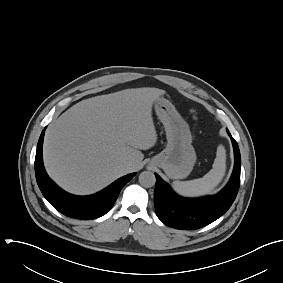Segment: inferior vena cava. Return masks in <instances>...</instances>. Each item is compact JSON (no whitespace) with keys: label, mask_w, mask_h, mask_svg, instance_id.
Wrapping results in <instances>:
<instances>
[{"label":"inferior vena cava","mask_w":283,"mask_h":283,"mask_svg":"<svg viewBox=\"0 0 283 283\" xmlns=\"http://www.w3.org/2000/svg\"><path fill=\"white\" fill-rule=\"evenodd\" d=\"M121 167L124 169V170H127L129 167H130V163L129 162H125L121 165Z\"/></svg>","instance_id":"602c4592"}]
</instances>
